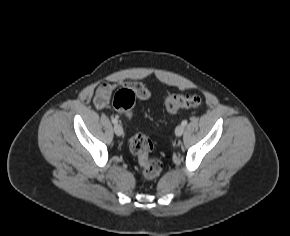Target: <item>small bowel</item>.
<instances>
[{
	"mask_svg": "<svg viewBox=\"0 0 290 236\" xmlns=\"http://www.w3.org/2000/svg\"><path fill=\"white\" fill-rule=\"evenodd\" d=\"M127 86L132 87L136 90L137 95L141 99H148L150 97L149 90L141 83L130 82ZM116 88V85L109 83H102L95 92L94 104L97 109L102 110L106 108L109 103L111 96Z\"/></svg>",
	"mask_w": 290,
	"mask_h": 236,
	"instance_id": "1",
	"label": "small bowel"
}]
</instances>
